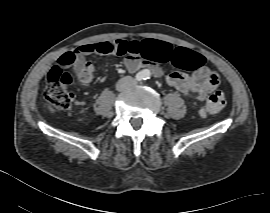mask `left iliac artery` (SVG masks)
<instances>
[{
  "instance_id": "left-iliac-artery-1",
  "label": "left iliac artery",
  "mask_w": 270,
  "mask_h": 213,
  "mask_svg": "<svg viewBox=\"0 0 270 213\" xmlns=\"http://www.w3.org/2000/svg\"><path fill=\"white\" fill-rule=\"evenodd\" d=\"M148 79H150L149 75L146 76L145 80H148Z\"/></svg>"
}]
</instances>
